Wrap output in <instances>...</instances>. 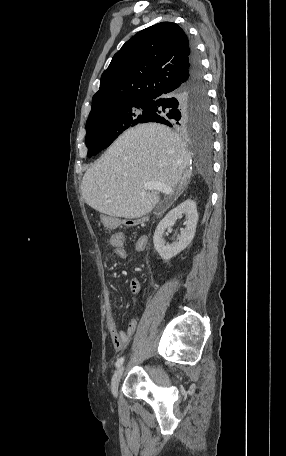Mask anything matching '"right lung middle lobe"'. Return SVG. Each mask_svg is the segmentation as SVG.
I'll list each match as a JSON object with an SVG mask.
<instances>
[{"label": "right lung middle lobe", "mask_w": 286, "mask_h": 456, "mask_svg": "<svg viewBox=\"0 0 286 456\" xmlns=\"http://www.w3.org/2000/svg\"><path fill=\"white\" fill-rule=\"evenodd\" d=\"M152 114V106L147 99L126 100L98 110L89 116L86 122L87 156L91 157L107 148L124 130L147 122ZM192 131L209 134L211 131L210 118L203 127L196 125Z\"/></svg>", "instance_id": "right-lung-middle-lobe-1"}]
</instances>
